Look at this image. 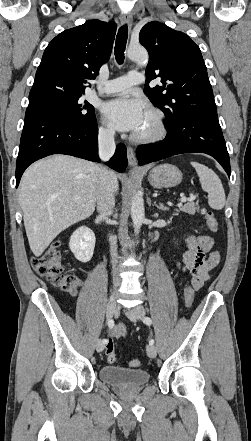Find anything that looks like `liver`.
Returning <instances> with one entry per match:
<instances>
[{"label":"liver","mask_w":251,"mask_h":441,"mask_svg":"<svg viewBox=\"0 0 251 441\" xmlns=\"http://www.w3.org/2000/svg\"><path fill=\"white\" fill-rule=\"evenodd\" d=\"M99 172L97 164L68 155L37 161L24 172L19 204L29 246L36 257L59 233L93 214Z\"/></svg>","instance_id":"liver-1"}]
</instances>
